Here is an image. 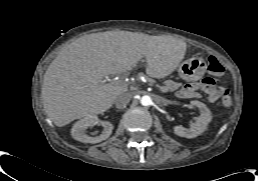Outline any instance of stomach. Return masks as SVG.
I'll list each match as a JSON object with an SVG mask.
<instances>
[{"instance_id": "1", "label": "stomach", "mask_w": 258, "mask_h": 181, "mask_svg": "<svg viewBox=\"0 0 258 181\" xmlns=\"http://www.w3.org/2000/svg\"><path fill=\"white\" fill-rule=\"evenodd\" d=\"M206 70V62L199 57H192L178 66L179 76L187 81L195 80L202 76Z\"/></svg>"}]
</instances>
